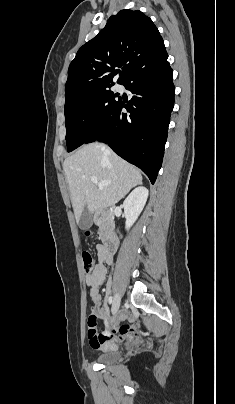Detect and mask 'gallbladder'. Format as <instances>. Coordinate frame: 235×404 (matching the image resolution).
<instances>
[{
    "label": "gallbladder",
    "instance_id": "bac80fb5",
    "mask_svg": "<svg viewBox=\"0 0 235 404\" xmlns=\"http://www.w3.org/2000/svg\"><path fill=\"white\" fill-rule=\"evenodd\" d=\"M92 223H93L92 216L87 206H85L82 211L81 217L78 221V225L82 230H86L92 226Z\"/></svg>",
    "mask_w": 235,
    "mask_h": 404
}]
</instances>
